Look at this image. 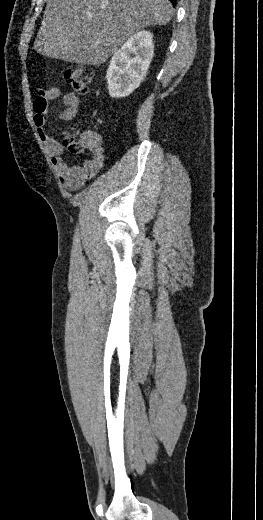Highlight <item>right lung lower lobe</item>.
I'll return each mask as SVG.
<instances>
[{
    "instance_id": "obj_1",
    "label": "right lung lower lobe",
    "mask_w": 263,
    "mask_h": 520,
    "mask_svg": "<svg viewBox=\"0 0 263 520\" xmlns=\"http://www.w3.org/2000/svg\"><path fill=\"white\" fill-rule=\"evenodd\" d=\"M170 1L172 2L173 6H175L176 0H170Z\"/></svg>"
}]
</instances>
